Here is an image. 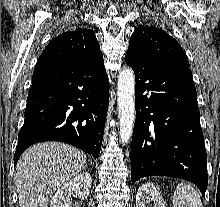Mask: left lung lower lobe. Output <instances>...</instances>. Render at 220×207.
Masks as SVG:
<instances>
[{"instance_id": "0a47b994", "label": "left lung lower lobe", "mask_w": 220, "mask_h": 207, "mask_svg": "<svg viewBox=\"0 0 220 207\" xmlns=\"http://www.w3.org/2000/svg\"><path fill=\"white\" fill-rule=\"evenodd\" d=\"M125 61L136 78L132 183L152 175L176 177L194 183L205 197L207 154L189 67L157 66L128 52Z\"/></svg>"}]
</instances>
